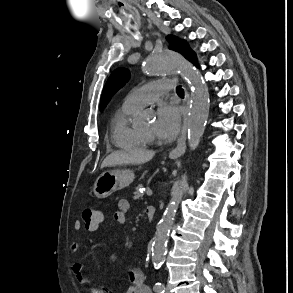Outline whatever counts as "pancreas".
Instances as JSON below:
<instances>
[{"label": "pancreas", "mask_w": 293, "mask_h": 293, "mask_svg": "<svg viewBox=\"0 0 293 293\" xmlns=\"http://www.w3.org/2000/svg\"><path fill=\"white\" fill-rule=\"evenodd\" d=\"M141 187V185H139L138 187H136V191L134 193V198L135 199H139L142 198L144 196V193H140L139 192V188Z\"/></svg>", "instance_id": "obj_1"}]
</instances>
